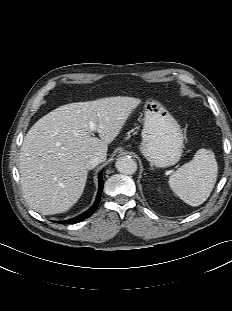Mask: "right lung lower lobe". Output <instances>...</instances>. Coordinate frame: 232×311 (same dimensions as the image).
I'll return each instance as SVG.
<instances>
[{"label":"right lung lower lobe","mask_w":232,"mask_h":311,"mask_svg":"<svg viewBox=\"0 0 232 311\" xmlns=\"http://www.w3.org/2000/svg\"><path fill=\"white\" fill-rule=\"evenodd\" d=\"M103 178L101 176V174L99 175V189H98V193H97V198H96V201L95 203L93 204V206L87 210L86 212L80 214L79 216L73 218V219H69V220H66V221H58L57 223H61V224H73V223H78L88 217H90L96 210L98 204H99V201H100V198H101V194H102V190H103Z\"/></svg>","instance_id":"98d812e1"}]
</instances>
